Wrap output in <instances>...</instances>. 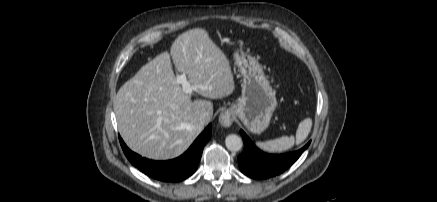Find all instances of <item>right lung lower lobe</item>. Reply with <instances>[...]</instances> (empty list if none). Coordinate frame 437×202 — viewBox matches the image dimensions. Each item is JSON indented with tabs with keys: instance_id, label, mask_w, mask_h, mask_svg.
I'll use <instances>...</instances> for the list:
<instances>
[{
	"instance_id": "obj_1",
	"label": "right lung lower lobe",
	"mask_w": 437,
	"mask_h": 202,
	"mask_svg": "<svg viewBox=\"0 0 437 202\" xmlns=\"http://www.w3.org/2000/svg\"><path fill=\"white\" fill-rule=\"evenodd\" d=\"M211 130L212 125L209 124L183 155L168 161H154L142 158L131 151L121 137L119 139L124 154L132 165L140 171L163 182H179L185 180L196 171L203 148L211 138Z\"/></svg>"
}]
</instances>
